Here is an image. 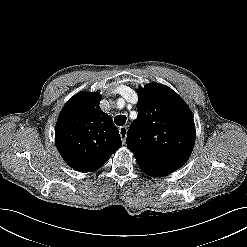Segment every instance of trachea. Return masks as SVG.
Instances as JSON below:
<instances>
[{"instance_id": "trachea-1", "label": "trachea", "mask_w": 247, "mask_h": 247, "mask_svg": "<svg viewBox=\"0 0 247 247\" xmlns=\"http://www.w3.org/2000/svg\"><path fill=\"white\" fill-rule=\"evenodd\" d=\"M114 122L118 126H123L125 124V122H126V116L125 115H117L114 118Z\"/></svg>"}]
</instances>
